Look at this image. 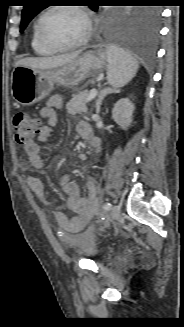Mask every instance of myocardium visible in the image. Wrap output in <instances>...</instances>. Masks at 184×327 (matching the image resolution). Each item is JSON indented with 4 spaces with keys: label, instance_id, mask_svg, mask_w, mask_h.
Listing matches in <instances>:
<instances>
[{
    "label": "myocardium",
    "instance_id": "f54148a6",
    "mask_svg": "<svg viewBox=\"0 0 184 327\" xmlns=\"http://www.w3.org/2000/svg\"><path fill=\"white\" fill-rule=\"evenodd\" d=\"M62 8L71 9V10L79 13L82 16V18L84 19L85 24H86V31H85L84 35L78 41L70 43V44H57V43L51 41L45 35L44 29H43V23H44L46 16L50 12L57 10V9H62ZM36 32H37L38 38L41 41V43L44 44L49 49H52L56 52L57 51H67V50L81 47L90 39V37L92 35V21H91V18H90V15L88 14V12L85 10L84 7H82L80 5H74V4H72V5H52L48 8H46L39 16L37 23H36Z\"/></svg>",
    "mask_w": 184,
    "mask_h": 327
}]
</instances>
